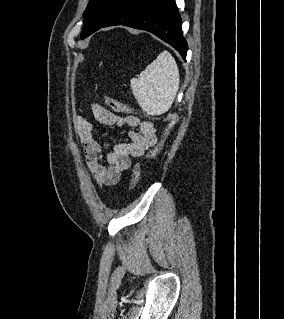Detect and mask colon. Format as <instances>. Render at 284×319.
<instances>
[{"instance_id":"1","label":"colon","mask_w":284,"mask_h":319,"mask_svg":"<svg viewBox=\"0 0 284 319\" xmlns=\"http://www.w3.org/2000/svg\"><path fill=\"white\" fill-rule=\"evenodd\" d=\"M103 101L106 106L111 108L112 110L120 113H133L132 108H130L128 105L110 97V96H104ZM161 119L166 121V127L162 136L161 142L148 153V157H155L161 150L162 146L168 139L169 135L171 134L176 122H177V117L174 114H166ZM141 176V169H140V164L137 163L133 170H132V176H131V183H130V189L133 190Z\"/></svg>"}]
</instances>
